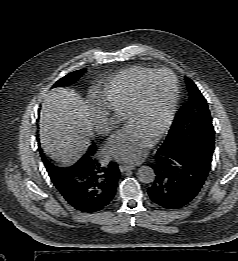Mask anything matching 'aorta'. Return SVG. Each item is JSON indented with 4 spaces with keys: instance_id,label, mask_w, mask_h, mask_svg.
<instances>
[{
    "instance_id": "1",
    "label": "aorta",
    "mask_w": 238,
    "mask_h": 261,
    "mask_svg": "<svg viewBox=\"0 0 238 261\" xmlns=\"http://www.w3.org/2000/svg\"><path fill=\"white\" fill-rule=\"evenodd\" d=\"M137 177L142 183H151L155 180V172L149 166H141L138 169Z\"/></svg>"
}]
</instances>
